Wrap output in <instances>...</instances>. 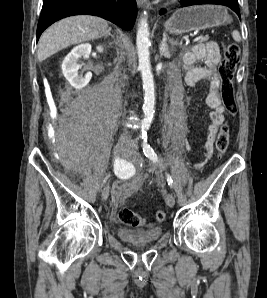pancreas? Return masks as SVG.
<instances>
[{
    "label": "pancreas",
    "mask_w": 267,
    "mask_h": 298,
    "mask_svg": "<svg viewBox=\"0 0 267 298\" xmlns=\"http://www.w3.org/2000/svg\"><path fill=\"white\" fill-rule=\"evenodd\" d=\"M208 40V37H203L200 39V42H204V41H207Z\"/></svg>",
    "instance_id": "cf45deb5"
}]
</instances>
